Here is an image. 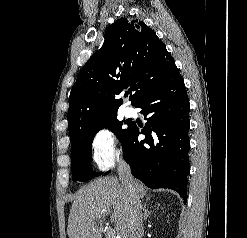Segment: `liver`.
Listing matches in <instances>:
<instances>
[{"mask_svg": "<svg viewBox=\"0 0 247 238\" xmlns=\"http://www.w3.org/2000/svg\"><path fill=\"white\" fill-rule=\"evenodd\" d=\"M135 183L138 195L146 196L144 186ZM129 206V195L119 179L107 176L94 180L75 195L67 227L69 238H102L103 219L109 211L120 236L128 238Z\"/></svg>", "mask_w": 247, "mask_h": 238, "instance_id": "liver-1", "label": "liver"}]
</instances>
